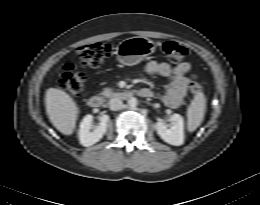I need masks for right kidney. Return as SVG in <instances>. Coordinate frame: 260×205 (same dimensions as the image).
Masks as SVG:
<instances>
[{
	"mask_svg": "<svg viewBox=\"0 0 260 205\" xmlns=\"http://www.w3.org/2000/svg\"><path fill=\"white\" fill-rule=\"evenodd\" d=\"M108 121H109L108 115L101 116L99 125L96 126L94 130L91 131L93 116L86 115L83 118L79 128L78 136H79L80 144H82L85 147H89L97 143L106 133Z\"/></svg>",
	"mask_w": 260,
	"mask_h": 205,
	"instance_id": "ca27d5eb",
	"label": "right kidney"
}]
</instances>
